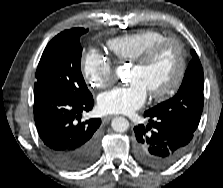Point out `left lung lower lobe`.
<instances>
[{"instance_id":"0a47b994","label":"left lung lower lobe","mask_w":223,"mask_h":188,"mask_svg":"<svg viewBox=\"0 0 223 188\" xmlns=\"http://www.w3.org/2000/svg\"><path fill=\"white\" fill-rule=\"evenodd\" d=\"M144 117L149 119L150 124L134 127L137 160L151 168H164L182 158L194 132L148 111Z\"/></svg>"}]
</instances>
